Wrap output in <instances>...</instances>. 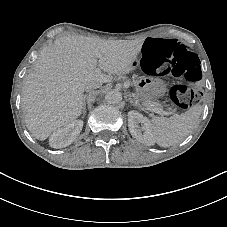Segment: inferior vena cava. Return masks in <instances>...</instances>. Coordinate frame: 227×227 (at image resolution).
Returning <instances> with one entry per match:
<instances>
[{
	"instance_id": "1",
	"label": "inferior vena cava",
	"mask_w": 227,
	"mask_h": 227,
	"mask_svg": "<svg viewBox=\"0 0 227 227\" xmlns=\"http://www.w3.org/2000/svg\"><path fill=\"white\" fill-rule=\"evenodd\" d=\"M100 86V84L89 83L86 85V90L99 88Z\"/></svg>"
}]
</instances>
